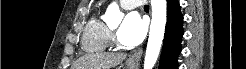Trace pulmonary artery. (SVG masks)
Returning a JSON list of instances; mask_svg holds the SVG:
<instances>
[{
  "mask_svg": "<svg viewBox=\"0 0 246 69\" xmlns=\"http://www.w3.org/2000/svg\"><path fill=\"white\" fill-rule=\"evenodd\" d=\"M121 3L125 9H132L141 7L144 2L140 0H124Z\"/></svg>",
  "mask_w": 246,
  "mask_h": 69,
  "instance_id": "obj_1",
  "label": "pulmonary artery"
}]
</instances>
